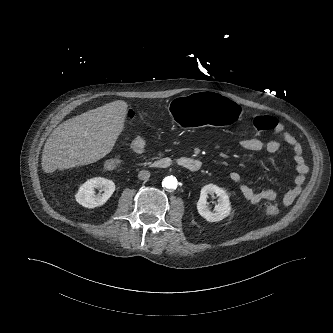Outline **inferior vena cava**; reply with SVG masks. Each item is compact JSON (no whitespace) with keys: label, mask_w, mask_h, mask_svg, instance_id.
Returning a JSON list of instances; mask_svg holds the SVG:
<instances>
[{"label":"inferior vena cava","mask_w":333,"mask_h":333,"mask_svg":"<svg viewBox=\"0 0 333 333\" xmlns=\"http://www.w3.org/2000/svg\"><path fill=\"white\" fill-rule=\"evenodd\" d=\"M150 177V172L147 171V170H141L139 173H138V178L140 180H148Z\"/></svg>","instance_id":"inferior-vena-cava-1"}]
</instances>
